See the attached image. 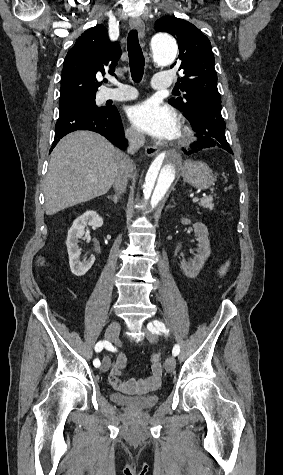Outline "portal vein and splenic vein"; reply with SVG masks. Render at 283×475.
Wrapping results in <instances>:
<instances>
[{
    "mask_svg": "<svg viewBox=\"0 0 283 475\" xmlns=\"http://www.w3.org/2000/svg\"><path fill=\"white\" fill-rule=\"evenodd\" d=\"M199 199H200V196L196 195L195 198H193V202H198Z\"/></svg>",
    "mask_w": 283,
    "mask_h": 475,
    "instance_id": "obj_1",
    "label": "portal vein and splenic vein"
}]
</instances>
